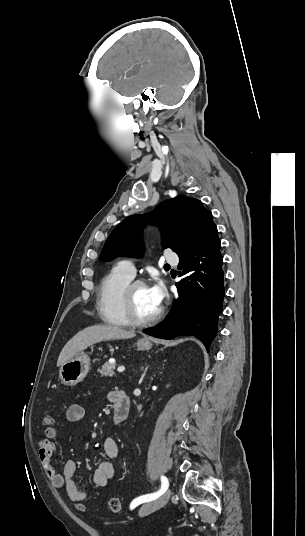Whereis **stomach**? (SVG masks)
<instances>
[{"instance_id":"1","label":"stomach","mask_w":305,"mask_h":536,"mask_svg":"<svg viewBox=\"0 0 305 536\" xmlns=\"http://www.w3.org/2000/svg\"><path fill=\"white\" fill-rule=\"evenodd\" d=\"M153 344L148 338L138 340V350H150ZM90 370V358L85 352H79L74 358L63 364L59 370V378L64 386H76L84 380Z\"/></svg>"}]
</instances>
